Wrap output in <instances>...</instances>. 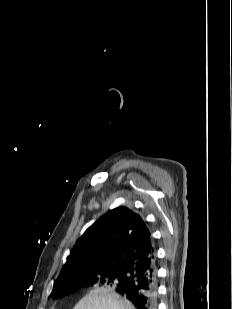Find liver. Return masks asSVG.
Returning <instances> with one entry per match:
<instances>
[{"instance_id":"1","label":"liver","mask_w":232,"mask_h":309,"mask_svg":"<svg viewBox=\"0 0 232 309\" xmlns=\"http://www.w3.org/2000/svg\"><path fill=\"white\" fill-rule=\"evenodd\" d=\"M73 309H136L110 288H97L84 296Z\"/></svg>"}]
</instances>
